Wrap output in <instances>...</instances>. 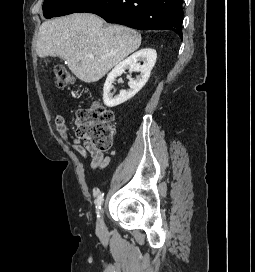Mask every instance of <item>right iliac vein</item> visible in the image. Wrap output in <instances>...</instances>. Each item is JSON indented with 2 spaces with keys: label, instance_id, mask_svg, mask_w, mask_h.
I'll list each match as a JSON object with an SVG mask.
<instances>
[{
  "label": "right iliac vein",
  "instance_id": "right-iliac-vein-1",
  "mask_svg": "<svg viewBox=\"0 0 255 272\" xmlns=\"http://www.w3.org/2000/svg\"><path fill=\"white\" fill-rule=\"evenodd\" d=\"M102 214H103V211H101L100 218H99L98 223H97V230L100 233H103L104 232V228H105L104 227V222H103V216H102Z\"/></svg>",
  "mask_w": 255,
  "mask_h": 272
}]
</instances>
